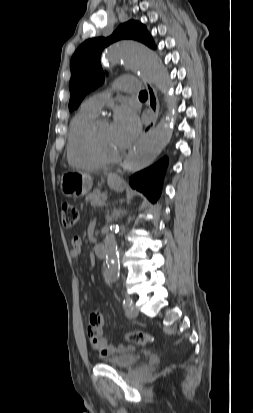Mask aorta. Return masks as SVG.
<instances>
[{
  "label": "aorta",
  "instance_id": "762f6f07",
  "mask_svg": "<svg viewBox=\"0 0 253 413\" xmlns=\"http://www.w3.org/2000/svg\"><path fill=\"white\" fill-rule=\"evenodd\" d=\"M106 58L110 62L122 61L126 67L140 72L144 78L153 82L166 96L171 111L166 119L144 135L135 145L133 153L126 163L127 171L135 173L150 165L171 139L174 110L176 109V101L171 94L172 83L156 53L139 42L132 40L119 41L107 49ZM114 230V227H110L105 238L108 266L106 277L112 282L117 281L120 272Z\"/></svg>",
  "mask_w": 253,
  "mask_h": 413
}]
</instances>
